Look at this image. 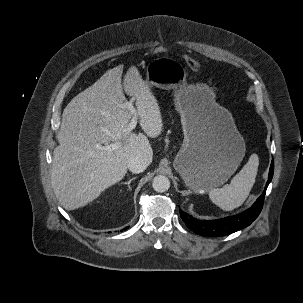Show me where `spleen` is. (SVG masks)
Masks as SVG:
<instances>
[{"instance_id": "spleen-1", "label": "spleen", "mask_w": 303, "mask_h": 303, "mask_svg": "<svg viewBox=\"0 0 303 303\" xmlns=\"http://www.w3.org/2000/svg\"><path fill=\"white\" fill-rule=\"evenodd\" d=\"M258 165V155L252 154L247 164L232 178L230 184L209 191L211 201L225 211H232L241 206L255 183Z\"/></svg>"}]
</instances>
